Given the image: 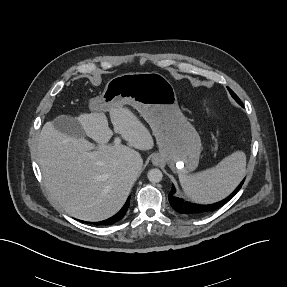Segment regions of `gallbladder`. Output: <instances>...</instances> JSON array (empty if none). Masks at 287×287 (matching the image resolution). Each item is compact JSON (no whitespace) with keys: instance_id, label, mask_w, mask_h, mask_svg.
I'll return each mask as SVG.
<instances>
[{"instance_id":"obj_1","label":"gallbladder","mask_w":287,"mask_h":287,"mask_svg":"<svg viewBox=\"0 0 287 287\" xmlns=\"http://www.w3.org/2000/svg\"><path fill=\"white\" fill-rule=\"evenodd\" d=\"M53 126L59 132L75 137L82 138L85 132L77 119L69 115H61L53 120Z\"/></svg>"}]
</instances>
